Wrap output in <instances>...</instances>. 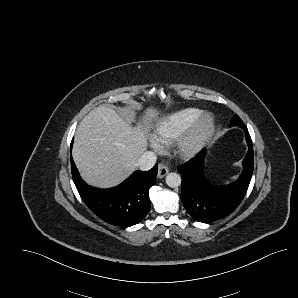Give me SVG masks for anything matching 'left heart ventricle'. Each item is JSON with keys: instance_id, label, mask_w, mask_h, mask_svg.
I'll list each match as a JSON object with an SVG mask.
<instances>
[{"instance_id": "left-heart-ventricle-1", "label": "left heart ventricle", "mask_w": 298, "mask_h": 298, "mask_svg": "<svg viewBox=\"0 0 298 298\" xmlns=\"http://www.w3.org/2000/svg\"><path fill=\"white\" fill-rule=\"evenodd\" d=\"M207 129H208V123L207 122L202 123L200 126V131L203 133V132H206Z\"/></svg>"}]
</instances>
